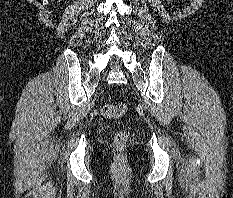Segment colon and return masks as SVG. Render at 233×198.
Segmentation results:
<instances>
[{"mask_svg": "<svg viewBox=\"0 0 233 198\" xmlns=\"http://www.w3.org/2000/svg\"><path fill=\"white\" fill-rule=\"evenodd\" d=\"M126 111V105L124 103L119 104H107L101 109V113L105 118L113 119L121 117ZM129 139V133L127 131H120L115 135L114 144L118 149H123L127 145Z\"/></svg>", "mask_w": 233, "mask_h": 198, "instance_id": "obj_1", "label": "colon"}]
</instances>
